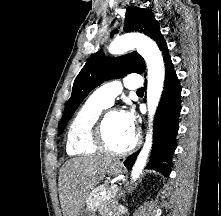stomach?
I'll list each match as a JSON object with an SVG mask.
<instances>
[{
  "mask_svg": "<svg viewBox=\"0 0 221 216\" xmlns=\"http://www.w3.org/2000/svg\"><path fill=\"white\" fill-rule=\"evenodd\" d=\"M108 171L114 176L120 175L123 172L122 165L119 163L111 164ZM79 216H95V214L92 210H85Z\"/></svg>",
  "mask_w": 221,
  "mask_h": 216,
  "instance_id": "1",
  "label": "stomach"
}]
</instances>
